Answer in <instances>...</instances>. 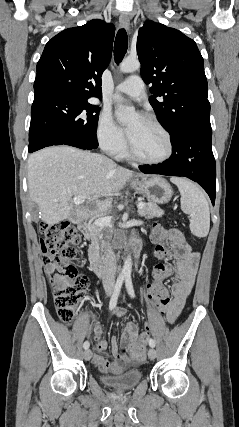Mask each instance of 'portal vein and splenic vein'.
Wrapping results in <instances>:
<instances>
[{
  "label": "portal vein and splenic vein",
  "mask_w": 239,
  "mask_h": 427,
  "mask_svg": "<svg viewBox=\"0 0 239 427\" xmlns=\"http://www.w3.org/2000/svg\"><path fill=\"white\" fill-rule=\"evenodd\" d=\"M84 200H85V197H84V196H78V197H74V198H73V201H74V203H76V204H80V203H82ZM144 206H145V203H144V202H139V203L137 204V208H138V209H142ZM111 220H112V217H111V216L98 218V219H96V220L94 221V225H95V226H97V227H107V226H109V225H110Z\"/></svg>",
  "instance_id": "18ae733b"
}]
</instances>
